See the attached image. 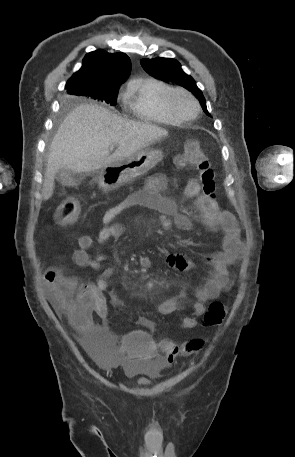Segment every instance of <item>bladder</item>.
<instances>
[{"mask_svg": "<svg viewBox=\"0 0 295 457\" xmlns=\"http://www.w3.org/2000/svg\"><path fill=\"white\" fill-rule=\"evenodd\" d=\"M78 347H87V356H93L95 362L103 369L112 368L115 364L112 356H116L115 338H78ZM163 360L125 363L124 372L130 378L146 377L151 380L161 379L167 369Z\"/></svg>", "mask_w": 295, "mask_h": 457, "instance_id": "obj_1", "label": "bladder"}]
</instances>
